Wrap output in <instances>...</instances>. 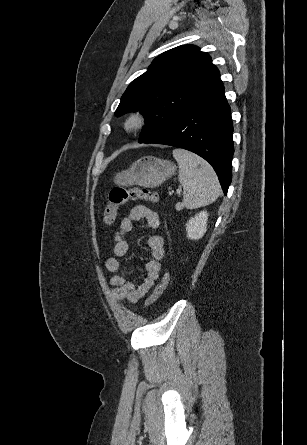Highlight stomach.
<instances>
[{
	"label": "stomach",
	"mask_w": 307,
	"mask_h": 445,
	"mask_svg": "<svg viewBox=\"0 0 307 445\" xmlns=\"http://www.w3.org/2000/svg\"><path fill=\"white\" fill-rule=\"evenodd\" d=\"M177 166L171 160H163L156 156H141L127 170H121L114 176L118 186L139 184L143 188H155L164 180L176 174Z\"/></svg>",
	"instance_id": "obj_1"
}]
</instances>
